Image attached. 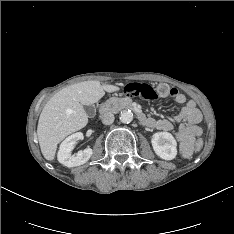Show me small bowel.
I'll list each match as a JSON object with an SVG mask.
<instances>
[{
  "label": "small bowel",
  "instance_id": "c3829d8e",
  "mask_svg": "<svg viewBox=\"0 0 234 234\" xmlns=\"http://www.w3.org/2000/svg\"><path fill=\"white\" fill-rule=\"evenodd\" d=\"M172 92V97L175 99L176 103L183 105L179 114L173 119L149 118L147 126L162 131H172L176 129V139L179 142L180 151L184 156H187L191 152L193 139L201 134V129L198 124L202 116L194 101L187 100L186 97L176 89H172Z\"/></svg>",
  "mask_w": 234,
  "mask_h": 234
}]
</instances>
